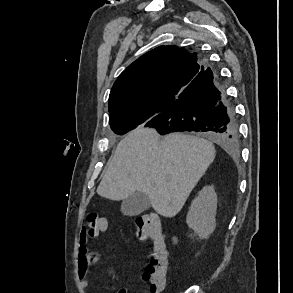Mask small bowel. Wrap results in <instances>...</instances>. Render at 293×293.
<instances>
[{"mask_svg":"<svg viewBox=\"0 0 293 293\" xmlns=\"http://www.w3.org/2000/svg\"><path fill=\"white\" fill-rule=\"evenodd\" d=\"M100 260L101 257L98 252L89 251L88 239L84 233H81L78 239L77 269L81 279V284L84 288H88L90 286L89 281L86 279V276L89 273V267L99 263ZM118 293H127V290L121 289Z\"/></svg>","mask_w":293,"mask_h":293,"instance_id":"1","label":"small bowel"}]
</instances>
